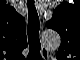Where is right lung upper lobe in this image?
I'll return each mask as SVG.
<instances>
[{
	"instance_id": "cb5924a9",
	"label": "right lung upper lobe",
	"mask_w": 80,
	"mask_h": 60,
	"mask_svg": "<svg viewBox=\"0 0 80 60\" xmlns=\"http://www.w3.org/2000/svg\"><path fill=\"white\" fill-rule=\"evenodd\" d=\"M6 11L7 16L4 15L3 10L2 39L12 48L22 52L27 46L25 19L16 13L13 7L7 6Z\"/></svg>"
}]
</instances>
